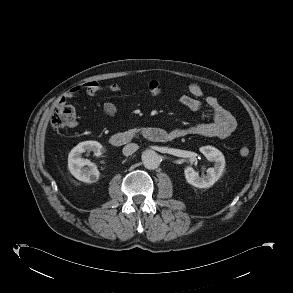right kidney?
<instances>
[{
	"label": "right kidney",
	"instance_id": "ca27d5eb",
	"mask_svg": "<svg viewBox=\"0 0 293 293\" xmlns=\"http://www.w3.org/2000/svg\"><path fill=\"white\" fill-rule=\"evenodd\" d=\"M85 151H93L95 156H100L103 146L97 141H84L75 146L68 156V169L70 173L79 181L85 183L96 182L100 177L97 167L89 160L82 158ZM89 166L87 167L84 166Z\"/></svg>",
	"mask_w": 293,
	"mask_h": 293
}]
</instances>
